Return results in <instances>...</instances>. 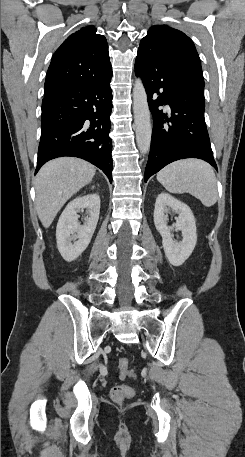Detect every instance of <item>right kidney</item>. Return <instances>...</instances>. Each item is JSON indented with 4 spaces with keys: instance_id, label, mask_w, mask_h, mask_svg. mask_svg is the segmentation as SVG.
Returning <instances> with one entry per match:
<instances>
[{
    "instance_id": "ca27d5eb",
    "label": "right kidney",
    "mask_w": 245,
    "mask_h": 457,
    "mask_svg": "<svg viewBox=\"0 0 245 457\" xmlns=\"http://www.w3.org/2000/svg\"><path fill=\"white\" fill-rule=\"evenodd\" d=\"M77 212L87 214L83 216L84 224H80V214ZM99 212L100 196L97 192L77 196L64 208L57 222L56 239L58 251L67 253L69 261H75L87 249L96 229Z\"/></svg>"
}]
</instances>
